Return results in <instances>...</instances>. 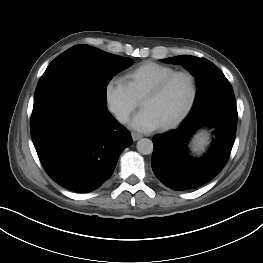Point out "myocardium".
Returning <instances> with one entry per match:
<instances>
[{"label": "myocardium", "mask_w": 263, "mask_h": 263, "mask_svg": "<svg viewBox=\"0 0 263 263\" xmlns=\"http://www.w3.org/2000/svg\"><path fill=\"white\" fill-rule=\"evenodd\" d=\"M178 76H185L189 79L191 83V97L187 104V106L184 108V110L172 121L163 124L160 126L162 130H169L174 127H176L178 124H180L192 111L197 97H198V82L195 77V75L188 71V70H181V71H174L171 74L163 77L161 80H159L151 89H149L144 96L141 99V105L142 103L147 99H152L157 97L162 93V91L166 88V86L176 77Z\"/></svg>", "instance_id": "obj_1"}]
</instances>
